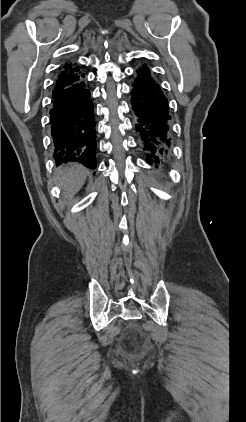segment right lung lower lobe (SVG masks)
<instances>
[{"label":"right lung lower lobe","mask_w":246,"mask_h":422,"mask_svg":"<svg viewBox=\"0 0 246 422\" xmlns=\"http://www.w3.org/2000/svg\"><path fill=\"white\" fill-rule=\"evenodd\" d=\"M54 160L78 162L96 168L94 107L84 74L75 82L55 88L50 110Z\"/></svg>","instance_id":"right-lung-lower-lobe-1"}]
</instances>
